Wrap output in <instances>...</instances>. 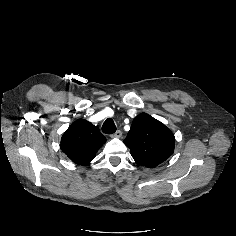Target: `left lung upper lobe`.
I'll return each mask as SVG.
<instances>
[{
    "label": "left lung upper lobe",
    "instance_id": "left-lung-upper-lobe-1",
    "mask_svg": "<svg viewBox=\"0 0 236 236\" xmlns=\"http://www.w3.org/2000/svg\"><path fill=\"white\" fill-rule=\"evenodd\" d=\"M124 143L138 164L153 168L173 154L175 138L160 121L141 113L133 120Z\"/></svg>",
    "mask_w": 236,
    "mask_h": 236
}]
</instances>
